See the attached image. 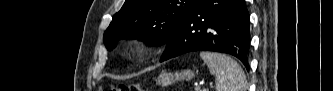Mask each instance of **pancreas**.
Returning a JSON list of instances; mask_svg holds the SVG:
<instances>
[{"instance_id":"pancreas-1","label":"pancreas","mask_w":333,"mask_h":91,"mask_svg":"<svg viewBox=\"0 0 333 91\" xmlns=\"http://www.w3.org/2000/svg\"><path fill=\"white\" fill-rule=\"evenodd\" d=\"M195 91H201V90L199 89V90H195ZM203 91H205V90H203Z\"/></svg>"}]
</instances>
